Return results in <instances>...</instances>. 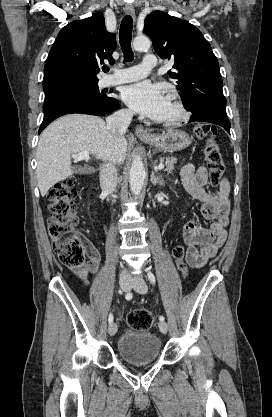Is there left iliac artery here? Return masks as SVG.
Returning a JSON list of instances; mask_svg holds the SVG:
<instances>
[{
    "label": "left iliac artery",
    "instance_id": "1",
    "mask_svg": "<svg viewBox=\"0 0 272 417\" xmlns=\"http://www.w3.org/2000/svg\"><path fill=\"white\" fill-rule=\"evenodd\" d=\"M148 279L150 280V282L152 283V284H155V282H156V280H155V276H154V274L152 273V272H148ZM159 319H160V321H164V316L163 315H161L160 317H159Z\"/></svg>",
    "mask_w": 272,
    "mask_h": 417
}]
</instances>
